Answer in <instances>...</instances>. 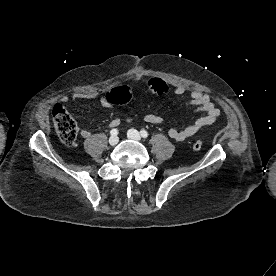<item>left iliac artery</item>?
Returning <instances> with one entry per match:
<instances>
[{"label":"left iliac artery","instance_id":"left-iliac-artery-1","mask_svg":"<svg viewBox=\"0 0 276 276\" xmlns=\"http://www.w3.org/2000/svg\"><path fill=\"white\" fill-rule=\"evenodd\" d=\"M140 134H141V136L143 138H147L148 137V132L146 130H144V129L140 131Z\"/></svg>","mask_w":276,"mask_h":276}]
</instances>
